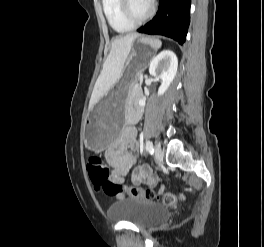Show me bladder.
Wrapping results in <instances>:
<instances>
[{
	"mask_svg": "<svg viewBox=\"0 0 264 247\" xmlns=\"http://www.w3.org/2000/svg\"><path fill=\"white\" fill-rule=\"evenodd\" d=\"M168 216V211L158 203L136 198H119L108 210L110 220L129 222L139 227L162 223Z\"/></svg>",
	"mask_w": 264,
	"mask_h": 247,
	"instance_id": "1",
	"label": "bladder"
}]
</instances>
